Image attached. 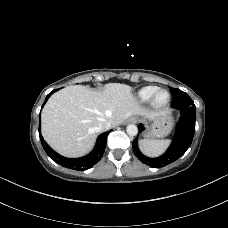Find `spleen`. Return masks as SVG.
I'll return each instance as SVG.
<instances>
[{
    "instance_id": "1",
    "label": "spleen",
    "mask_w": 228,
    "mask_h": 228,
    "mask_svg": "<svg viewBox=\"0 0 228 228\" xmlns=\"http://www.w3.org/2000/svg\"><path fill=\"white\" fill-rule=\"evenodd\" d=\"M170 140L142 139L139 141L140 150L149 157H157L164 153Z\"/></svg>"
}]
</instances>
